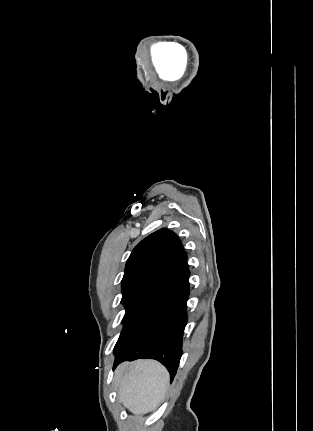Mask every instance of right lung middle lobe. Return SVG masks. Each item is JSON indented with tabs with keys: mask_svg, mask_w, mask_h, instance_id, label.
Returning a JSON list of instances; mask_svg holds the SVG:
<instances>
[{
	"mask_svg": "<svg viewBox=\"0 0 313 431\" xmlns=\"http://www.w3.org/2000/svg\"><path fill=\"white\" fill-rule=\"evenodd\" d=\"M147 297L143 296H123L121 302L126 308V313L123 318L124 327L131 321L138 310L146 301ZM124 329V328H123Z\"/></svg>",
	"mask_w": 313,
	"mask_h": 431,
	"instance_id": "dd1d6c3e",
	"label": "right lung middle lobe"
}]
</instances>
